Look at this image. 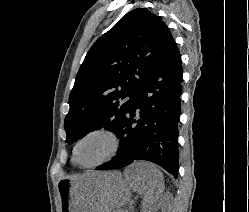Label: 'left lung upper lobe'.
<instances>
[{
	"label": "left lung upper lobe",
	"mask_w": 249,
	"mask_h": 212,
	"mask_svg": "<svg viewBox=\"0 0 249 212\" xmlns=\"http://www.w3.org/2000/svg\"><path fill=\"white\" fill-rule=\"evenodd\" d=\"M173 41L165 23L144 8L130 11L102 35L88 51L70 93L66 142L101 128L117 135L134 96Z\"/></svg>",
	"instance_id": "obj_1"
}]
</instances>
